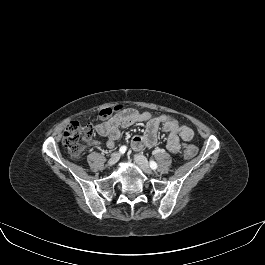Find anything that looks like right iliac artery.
Here are the masks:
<instances>
[{
    "instance_id": "82829eb1",
    "label": "right iliac artery",
    "mask_w": 265,
    "mask_h": 265,
    "mask_svg": "<svg viewBox=\"0 0 265 265\" xmlns=\"http://www.w3.org/2000/svg\"><path fill=\"white\" fill-rule=\"evenodd\" d=\"M126 150H127V147H126V146H122V147L119 149V152H120L121 154H124V153L126 152Z\"/></svg>"
}]
</instances>
